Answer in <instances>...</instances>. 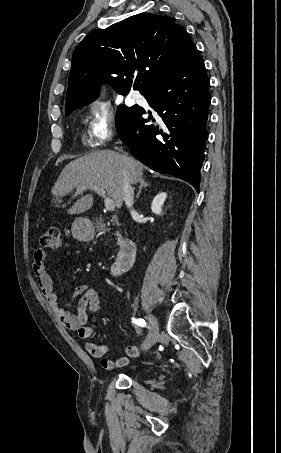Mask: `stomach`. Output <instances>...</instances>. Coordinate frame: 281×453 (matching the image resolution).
<instances>
[{"instance_id": "stomach-1", "label": "stomach", "mask_w": 281, "mask_h": 453, "mask_svg": "<svg viewBox=\"0 0 281 453\" xmlns=\"http://www.w3.org/2000/svg\"><path fill=\"white\" fill-rule=\"evenodd\" d=\"M72 235L78 241H91L94 237V227L89 218H75L72 224Z\"/></svg>"}]
</instances>
